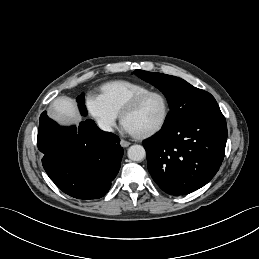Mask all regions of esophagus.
<instances>
[{
  "label": "esophagus",
  "instance_id": "esophagus-1",
  "mask_svg": "<svg viewBox=\"0 0 259 259\" xmlns=\"http://www.w3.org/2000/svg\"><path fill=\"white\" fill-rule=\"evenodd\" d=\"M120 144L122 147L126 148L130 145V142L121 139Z\"/></svg>",
  "mask_w": 259,
  "mask_h": 259
}]
</instances>
